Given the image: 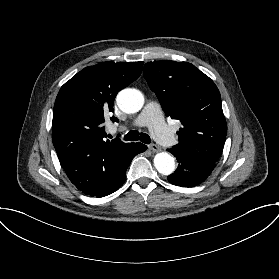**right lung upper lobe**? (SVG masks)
I'll use <instances>...</instances> for the list:
<instances>
[{"instance_id": "obj_1", "label": "right lung upper lobe", "mask_w": 279, "mask_h": 279, "mask_svg": "<svg viewBox=\"0 0 279 279\" xmlns=\"http://www.w3.org/2000/svg\"><path fill=\"white\" fill-rule=\"evenodd\" d=\"M143 62L89 66L60 89L53 111L52 141L70 181L84 194L99 195L123 170L141 143L106 141L104 110L141 74ZM112 121H118L116 117Z\"/></svg>"}]
</instances>
